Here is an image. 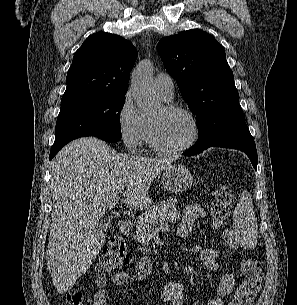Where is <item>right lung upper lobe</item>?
Instances as JSON below:
<instances>
[{
	"label": "right lung upper lobe",
	"instance_id": "cb5924a9",
	"mask_svg": "<svg viewBox=\"0 0 297 305\" xmlns=\"http://www.w3.org/2000/svg\"><path fill=\"white\" fill-rule=\"evenodd\" d=\"M137 50L110 33L89 36L75 52L61 101L89 95L126 94Z\"/></svg>",
	"mask_w": 297,
	"mask_h": 305
}]
</instances>
